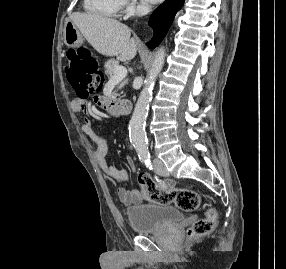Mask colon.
<instances>
[{"instance_id":"1","label":"colon","mask_w":286,"mask_h":269,"mask_svg":"<svg viewBox=\"0 0 286 269\" xmlns=\"http://www.w3.org/2000/svg\"><path fill=\"white\" fill-rule=\"evenodd\" d=\"M97 63L86 49L70 50L68 52L67 78L80 96L94 94L97 89ZM139 194L142 198L158 203L175 202L184 211L195 210L200 203L199 194L191 189H179L171 192L161 190L153 178L140 174L137 178ZM216 212L207 210L205 216L195 222L187 232L190 239L207 235L214 228Z\"/></svg>"}]
</instances>
